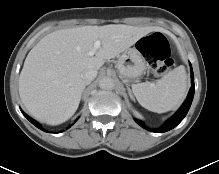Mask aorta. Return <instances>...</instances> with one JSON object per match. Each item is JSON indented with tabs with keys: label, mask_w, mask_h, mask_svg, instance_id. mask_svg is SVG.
I'll list each match as a JSON object with an SVG mask.
<instances>
[{
	"label": "aorta",
	"mask_w": 219,
	"mask_h": 174,
	"mask_svg": "<svg viewBox=\"0 0 219 174\" xmlns=\"http://www.w3.org/2000/svg\"><path fill=\"white\" fill-rule=\"evenodd\" d=\"M99 87L104 90H111L115 87V82L111 77H104L99 81Z\"/></svg>",
	"instance_id": "obj_1"
}]
</instances>
